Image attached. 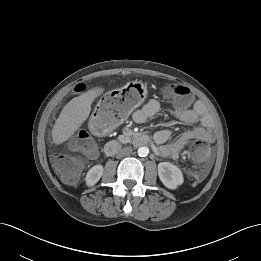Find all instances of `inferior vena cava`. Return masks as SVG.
I'll use <instances>...</instances> for the list:
<instances>
[{
  "instance_id": "inferior-vena-cava-1",
  "label": "inferior vena cava",
  "mask_w": 261,
  "mask_h": 261,
  "mask_svg": "<svg viewBox=\"0 0 261 261\" xmlns=\"http://www.w3.org/2000/svg\"><path fill=\"white\" fill-rule=\"evenodd\" d=\"M132 150V147H124L117 152L116 157L123 158L129 156L132 153Z\"/></svg>"
}]
</instances>
